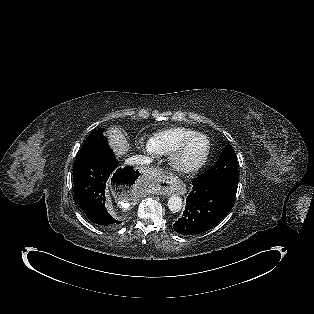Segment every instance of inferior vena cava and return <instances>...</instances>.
I'll return each mask as SVG.
<instances>
[{"mask_svg":"<svg viewBox=\"0 0 314 314\" xmlns=\"http://www.w3.org/2000/svg\"><path fill=\"white\" fill-rule=\"evenodd\" d=\"M126 164L128 165H143V164H149L151 162V159L149 157L143 156V155H135L128 159H126Z\"/></svg>","mask_w":314,"mask_h":314,"instance_id":"obj_1","label":"inferior vena cava"}]
</instances>
